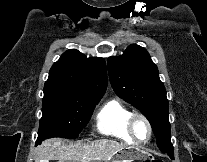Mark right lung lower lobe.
Masks as SVG:
<instances>
[{
  "instance_id": "obj_1",
  "label": "right lung lower lobe",
  "mask_w": 207,
  "mask_h": 162,
  "mask_svg": "<svg viewBox=\"0 0 207 162\" xmlns=\"http://www.w3.org/2000/svg\"><path fill=\"white\" fill-rule=\"evenodd\" d=\"M39 143H41V142L36 141V145L39 144Z\"/></svg>"
}]
</instances>
